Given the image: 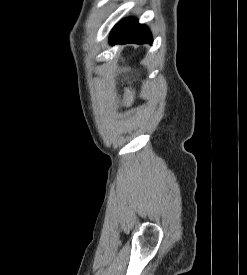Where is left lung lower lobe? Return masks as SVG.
Returning a JSON list of instances; mask_svg holds the SVG:
<instances>
[{"mask_svg":"<svg viewBox=\"0 0 247 275\" xmlns=\"http://www.w3.org/2000/svg\"><path fill=\"white\" fill-rule=\"evenodd\" d=\"M153 42L149 29L137 23L134 18H127L118 23L111 32L110 43L112 45L135 43L144 44Z\"/></svg>","mask_w":247,"mask_h":275,"instance_id":"0a47b994","label":"left lung lower lobe"}]
</instances>
